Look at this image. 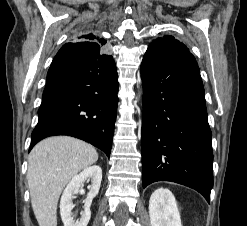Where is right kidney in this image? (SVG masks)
I'll return each instance as SVG.
<instances>
[{
    "label": "right kidney",
    "mask_w": 247,
    "mask_h": 226,
    "mask_svg": "<svg viewBox=\"0 0 247 226\" xmlns=\"http://www.w3.org/2000/svg\"><path fill=\"white\" fill-rule=\"evenodd\" d=\"M86 180H91V185L89 186V192L85 199L84 211L81 213L80 219L75 221L71 212L74 207L72 199L74 198V195L78 194L82 184ZM101 180L102 169L97 165L85 168L81 173L75 175L71 179L63 191L60 200V214L64 226H87L91 217L90 206L93 198L96 197L99 192Z\"/></svg>",
    "instance_id": "1"
}]
</instances>
